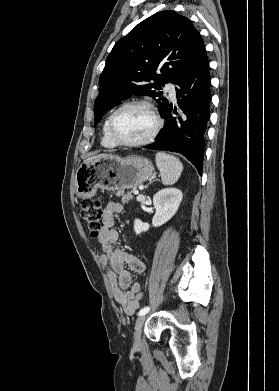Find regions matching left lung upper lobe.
Segmentation results:
<instances>
[{"label":"left lung upper lobe","instance_id":"obj_1","mask_svg":"<svg viewBox=\"0 0 279 391\" xmlns=\"http://www.w3.org/2000/svg\"><path fill=\"white\" fill-rule=\"evenodd\" d=\"M203 48L192 22L175 11L158 12L139 23L107 57L94 103V124L132 95L152 97L162 114L168 100L157 90L167 82L177 83Z\"/></svg>","mask_w":279,"mask_h":391}]
</instances>
